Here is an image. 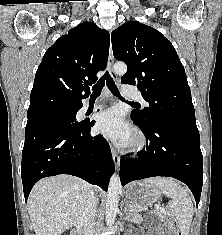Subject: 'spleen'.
<instances>
[{
	"mask_svg": "<svg viewBox=\"0 0 222 235\" xmlns=\"http://www.w3.org/2000/svg\"><path fill=\"white\" fill-rule=\"evenodd\" d=\"M145 186H155L162 194L171 198L170 214L176 221L181 235H188L193 218V203L187 191L174 179L165 177L148 178Z\"/></svg>",
	"mask_w": 222,
	"mask_h": 235,
	"instance_id": "3e777b00",
	"label": "spleen"
}]
</instances>
